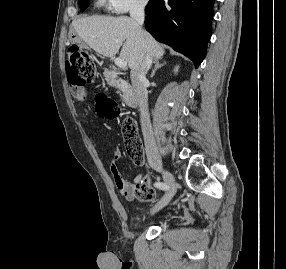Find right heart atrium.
I'll use <instances>...</instances> for the list:
<instances>
[{
	"instance_id": "right-heart-atrium-1",
	"label": "right heart atrium",
	"mask_w": 286,
	"mask_h": 269,
	"mask_svg": "<svg viewBox=\"0 0 286 269\" xmlns=\"http://www.w3.org/2000/svg\"><path fill=\"white\" fill-rule=\"evenodd\" d=\"M109 9L116 14H123L133 10H142L148 0H106Z\"/></svg>"
}]
</instances>
